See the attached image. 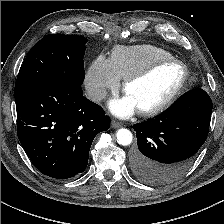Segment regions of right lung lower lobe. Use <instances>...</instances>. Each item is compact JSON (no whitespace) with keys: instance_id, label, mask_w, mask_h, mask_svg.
Instances as JSON below:
<instances>
[{"instance_id":"obj_1","label":"right lung lower lobe","mask_w":224,"mask_h":224,"mask_svg":"<svg viewBox=\"0 0 224 224\" xmlns=\"http://www.w3.org/2000/svg\"><path fill=\"white\" fill-rule=\"evenodd\" d=\"M17 135L43 174L68 179L82 173L95 136L110 128V118L83 96L80 87L48 84L16 101Z\"/></svg>"}]
</instances>
